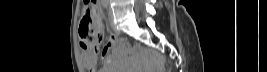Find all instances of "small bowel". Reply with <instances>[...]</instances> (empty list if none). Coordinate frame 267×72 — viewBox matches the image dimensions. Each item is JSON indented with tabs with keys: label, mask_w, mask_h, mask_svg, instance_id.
<instances>
[{
	"label": "small bowel",
	"mask_w": 267,
	"mask_h": 72,
	"mask_svg": "<svg viewBox=\"0 0 267 72\" xmlns=\"http://www.w3.org/2000/svg\"><path fill=\"white\" fill-rule=\"evenodd\" d=\"M118 39L116 36L112 35L109 38V41L104 45L103 49L100 52L101 58L104 61V64L107 65L110 63V51L111 49L117 44ZM99 51H88L82 54V62L86 69L90 72H96V62L98 57ZM109 68L104 67L103 69L99 70L98 72H109Z\"/></svg>",
	"instance_id": "small-bowel-1"
}]
</instances>
